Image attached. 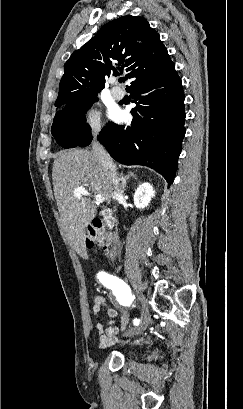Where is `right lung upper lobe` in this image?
I'll return each mask as SVG.
<instances>
[{
    "label": "right lung upper lobe",
    "mask_w": 243,
    "mask_h": 409,
    "mask_svg": "<svg viewBox=\"0 0 243 409\" xmlns=\"http://www.w3.org/2000/svg\"><path fill=\"white\" fill-rule=\"evenodd\" d=\"M174 66L159 34L140 16L126 15L102 27L64 64L55 105L97 97L105 79L125 71L136 83L158 76Z\"/></svg>",
    "instance_id": "cb5924a9"
}]
</instances>
